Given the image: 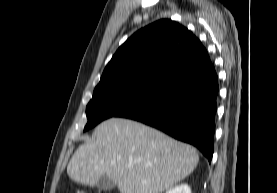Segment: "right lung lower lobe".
Listing matches in <instances>:
<instances>
[{"instance_id":"98d812e1","label":"right lung lower lobe","mask_w":277,"mask_h":193,"mask_svg":"<svg viewBox=\"0 0 277 193\" xmlns=\"http://www.w3.org/2000/svg\"><path fill=\"white\" fill-rule=\"evenodd\" d=\"M217 74L211 61L181 75L116 117L140 121L196 146L212 159Z\"/></svg>"}]
</instances>
